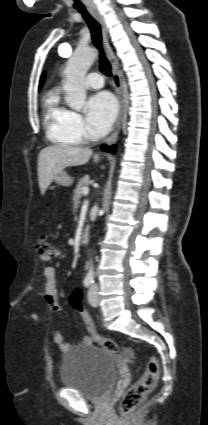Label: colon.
Returning <instances> with one entry per match:
<instances>
[{
	"mask_svg": "<svg viewBox=\"0 0 208 425\" xmlns=\"http://www.w3.org/2000/svg\"><path fill=\"white\" fill-rule=\"evenodd\" d=\"M36 249L40 254L48 255L54 252V248L47 235L40 236L36 243ZM82 300V291L79 288L73 289L69 297L70 306L74 311L82 315L88 330L91 332L92 339L109 353H119L120 347L114 340L101 337L96 333L94 324L86 312ZM159 372L157 359L153 356L148 357L143 376L121 398L119 410L123 416L128 417L133 414L144 398L154 390L159 378Z\"/></svg>",
	"mask_w": 208,
	"mask_h": 425,
	"instance_id": "5ec220e1",
	"label": "colon"
}]
</instances>
